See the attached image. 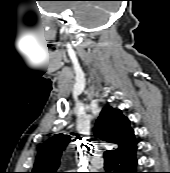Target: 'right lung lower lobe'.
Instances as JSON below:
<instances>
[{"label":"right lung lower lobe","instance_id":"right-lung-lower-lobe-1","mask_svg":"<svg viewBox=\"0 0 170 173\" xmlns=\"http://www.w3.org/2000/svg\"><path fill=\"white\" fill-rule=\"evenodd\" d=\"M136 143L127 150L114 155V171L113 173H139L136 171Z\"/></svg>","mask_w":170,"mask_h":173}]
</instances>
